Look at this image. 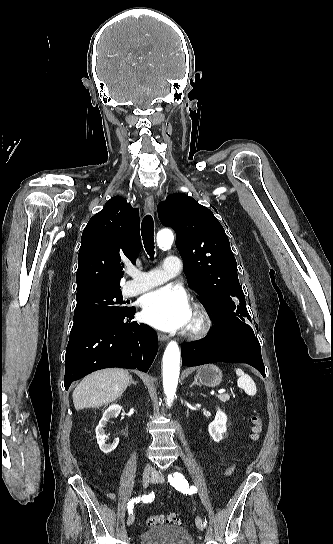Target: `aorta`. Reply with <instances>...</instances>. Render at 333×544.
<instances>
[{
	"instance_id": "1",
	"label": "aorta",
	"mask_w": 333,
	"mask_h": 544,
	"mask_svg": "<svg viewBox=\"0 0 333 544\" xmlns=\"http://www.w3.org/2000/svg\"><path fill=\"white\" fill-rule=\"evenodd\" d=\"M174 240L171 230L163 229L157 234L158 246L162 249L169 248ZM180 372V350L175 341H171L163 355V388L167 397V404L170 405L176 395Z\"/></svg>"
}]
</instances>
